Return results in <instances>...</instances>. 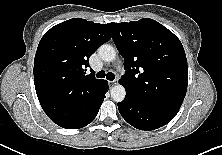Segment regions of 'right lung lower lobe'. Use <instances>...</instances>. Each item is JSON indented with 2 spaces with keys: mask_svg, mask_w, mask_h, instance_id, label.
<instances>
[{
  "mask_svg": "<svg viewBox=\"0 0 222 155\" xmlns=\"http://www.w3.org/2000/svg\"><path fill=\"white\" fill-rule=\"evenodd\" d=\"M107 91L108 83L104 80L93 92L74 100L67 107L52 110L51 104L41 103V106L57 125L66 129H78L95 119Z\"/></svg>",
  "mask_w": 222,
  "mask_h": 155,
  "instance_id": "98d812e1",
  "label": "right lung lower lobe"
}]
</instances>
